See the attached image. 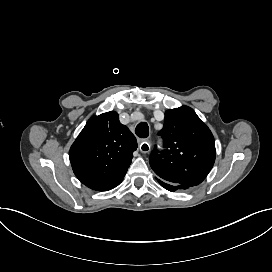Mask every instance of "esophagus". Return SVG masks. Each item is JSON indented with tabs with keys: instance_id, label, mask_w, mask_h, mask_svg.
I'll use <instances>...</instances> for the list:
<instances>
[{
	"instance_id": "34e87169",
	"label": "esophagus",
	"mask_w": 272,
	"mask_h": 272,
	"mask_svg": "<svg viewBox=\"0 0 272 272\" xmlns=\"http://www.w3.org/2000/svg\"><path fill=\"white\" fill-rule=\"evenodd\" d=\"M139 148L142 153H148L151 149V146H150L149 142L143 141V142H141Z\"/></svg>"
}]
</instances>
